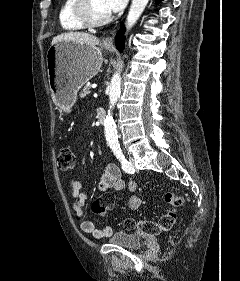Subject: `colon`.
Segmentation results:
<instances>
[{
    "mask_svg": "<svg viewBox=\"0 0 240 281\" xmlns=\"http://www.w3.org/2000/svg\"><path fill=\"white\" fill-rule=\"evenodd\" d=\"M57 164L62 171H72L76 165V157L70 148H63L57 158ZM167 203L172 205V209L162 215L158 221L140 220L135 221L128 219L124 222V226L129 230H139L145 234L155 235L162 231L171 229L177 220V210L186 205V200L173 192H167L164 195ZM113 197L104 194L96 198L92 203V211L99 217L107 216L109 210L113 206Z\"/></svg>",
    "mask_w": 240,
    "mask_h": 281,
    "instance_id": "1",
    "label": "colon"
}]
</instances>
